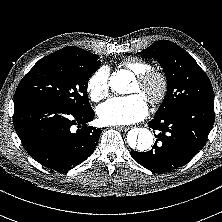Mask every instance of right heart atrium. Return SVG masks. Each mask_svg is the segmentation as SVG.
I'll return each instance as SVG.
<instances>
[{
    "label": "right heart atrium",
    "instance_id": "obj_1",
    "mask_svg": "<svg viewBox=\"0 0 222 222\" xmlns=\"http://www.w3.org/2000/svg\"><path fill=\"white\" fill-rule=\"evenodd\" d=\"M110 75L107 67L96 70L87 82V91L92 101L98 102L109 95Z\"/></svg>",
    "mask_w": 222,
    "mask_h": 222
}]
</instances>
